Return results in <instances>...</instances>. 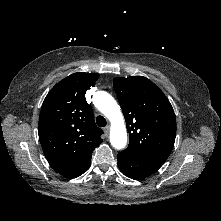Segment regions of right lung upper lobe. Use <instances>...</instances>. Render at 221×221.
Returning a JSON list of instances; mask_svg holds the SVG:
<instances>
[{"label": "right lung upper lobe", "mask_w": 221, "mask_h": 221, "mask_svg": "<svg viewBox=\"0 0 221 221\" xmlns=\"http://www.w3.org/2000/svg\"><path fill=\"white\" fill-rule=\"evenodd\" d=\"M99 78L77 72L57 83L46 96L38 124L41 146L50 166L73 178L91 164L103 131L95 124L85 93Z\"/></svg>", "instance_id": "obj_1"}]
</instances>
